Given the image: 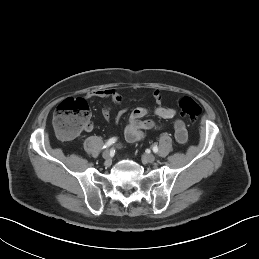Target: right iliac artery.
Here are the masks:
<instances>
[{
    "mask_svg": "<svg viewBox=\"0 0 259 259\" xmlns=\"http://www.w3.org/2000/svg\"><path fill=\"white\" fill-rule=\"evenodd\" d=\"M116 140H117L116 138H111V139H109V140L105 143V145L103 146V148H108V147H110L113 143H115Z\"/></svg>",
    "mask_w": 259,
    "mask_h": 259,
    "instance_id": "1",
    "label": "right iliac artery"
}]
</instances>
